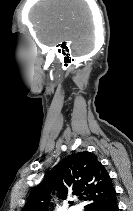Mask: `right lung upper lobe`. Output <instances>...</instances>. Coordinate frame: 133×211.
Instances as JSON below:
<instances>
[{
	"instance_id": "cb5924a9",
	"label": "right lung upper lobe",
	"mask_w": 133,
	"mask_h": 211,
	"mask_svg": "<svg viewBox=\"0 0 133 211\" xmlns=\"http://www.w3.org/2000/svg\"><path fill=\"white\" fill-rule=\"evenodd\" d=\"M54 189L62 199L68 195H86L89 204L85 211H96L116 201L108 172L93 153L86 151L69 155L48 174L32 190L23 211H46Z\"/></svg>"
}]
</instances>
